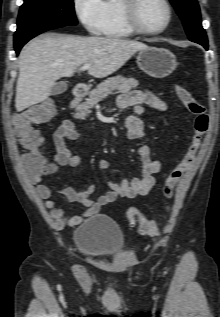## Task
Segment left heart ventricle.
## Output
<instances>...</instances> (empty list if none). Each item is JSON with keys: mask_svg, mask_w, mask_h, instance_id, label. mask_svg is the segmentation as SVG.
<instances>
[{"mask_svg": "<svg viewBox=\"0 0 220 317\" xmlns=\"http://www.w3.org/2000/svg\"><path fill=\"white\" fill-rule=\"evenodd\" d=\"M167 19V10L161 0H143L139 8V20L147 29L161 28Z\"/></svg>", "mask_w": 220, "mask_h": 317, "instance_id": "b2bd125f", "label": "left heart ventricle"}]
</instances>
